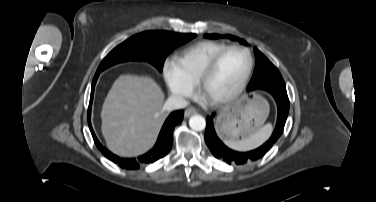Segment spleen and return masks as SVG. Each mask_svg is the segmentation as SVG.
Returning <instances> with one entry per match:
<instances>
[{
  "label": "spleen",
  "instance_id": "1",
  "mask_svg": "<svg viewBox=\"0 0 376 202\" xmlns=\"http://www.w3.org/2000/svg\"><path fill=\"white\" fill-rule=\"evenodd\" d=\"M271 131L272 125L266 124L258 132L248 138L240 141L226 142V144L230 148L238 151L252 150L263 144L269 138Z\"/></svg>",
  "mask_w": 376,
  "mask_h": 202
}]
</instances>
